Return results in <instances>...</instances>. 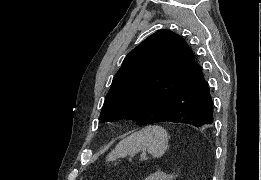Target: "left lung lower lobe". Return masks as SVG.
<instances>
[{
    "label": "left lung lower lobe",
    "instance_id": "left-lung-lower-lobe-1",
    "mask_svg": "<svg viewBox=\"0 0 261 180\" xmlns=\"http://www.w3.org/2000/svg\"><path fill=\"white\" fill-rule=\"evenodd\" d=\"M213 102L202 68L196 64L162 113L152 122L186 123L211 127L214 123Z\"/></svg>",
    "mask_w": 261,
    "mask_h": 180
}]
</instances>
